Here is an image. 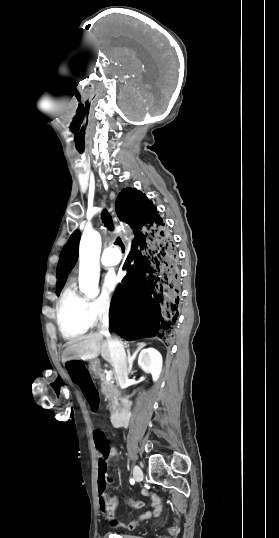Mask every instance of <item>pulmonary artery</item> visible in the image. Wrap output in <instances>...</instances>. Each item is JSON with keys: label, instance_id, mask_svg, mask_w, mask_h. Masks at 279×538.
<instances>
[{"label": "pulmonary artery", "instance_id": "1", "mask_svg": "<svg viewBox=\"0 0 279 538\" xmlns=\"http://www.w3.org/2000/svg\"><path fill=\"white\" fill-rule=\"evenodd\" d=\"M120 261L118 255H112L110 250H104L101 258L102 267L106 270H110L115 267Z\"/></svg>", "mask_w": 279, "mask_h": 538}]
</instances>
